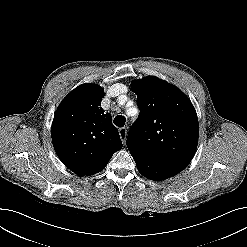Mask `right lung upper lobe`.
I'll list each match as a JSON object with an SVG mask.
<instances>
[{"instance_id":"right-lung-upper-lobe-1","label":"right lung upper lobe","mask_w":247,"mask_h":247,"mask_svg":"<svg viewBox=\"0 0 247 247\" xmlns=\"http://www.w3.org/2000/svg\"><path fill=\"white\" fill-rule=\"evenodd\" d=\"M104 90L82 84L60 103L51 127L54 149L60 160L80 176L102 170L122 148L112 117L101 106Z\"/></svg>"}]
</instances>
